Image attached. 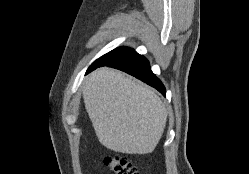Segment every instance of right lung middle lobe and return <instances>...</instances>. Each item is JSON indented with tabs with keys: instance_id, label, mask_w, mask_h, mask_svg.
I'll list each match as a JSON object with an SVG mask.
<instances>
[{
	"instance_id": "1",
	"label": "right lung middle lobe",
	"mask_w": 249,
	"mask_h": 174,
	"mask_svg": "<svg viewBox=\"0 0 249 174\" xmlns=\"http://www.w3.org/2000/svg\"><path fill=\"white\" fill-rule=\"evenodd\" d=\"M133 51L132 48H128V47H120L117 49L112 50L111 52L103 55L102 57H100L98 60H96L94 63L97 62H112V61H116L118 59H120L121 57H123L125 54L129 53Z\"/></svg>"
}]
</instances>
